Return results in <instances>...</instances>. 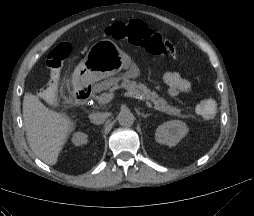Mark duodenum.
<instances>
[{"label":"duodenum","instance_id":"1","mask_svg":"<svg viewBox=\"0 0 254 216\" xmlns=\"http://www.w3.org/2000/svg\"><path fill=\"white\" fill-rule=\"evenodd\" d=\"M92 86L91 85H84L76 90L75 92V100L80 105H85L89 101L91 96Z\"/></svg>","mask_w":254,"mask_h":216}]
</instances>
